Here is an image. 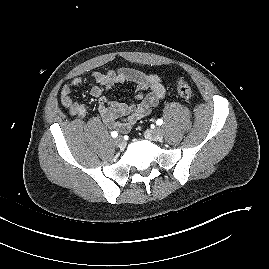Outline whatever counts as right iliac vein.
I'll return each mask as SVG.
<instances>
[{
	"label": "right iliac vein",
	"mask_w": 269,
	"mask_h": 269,
	"mask_svg": "<svg viewBox=\"0 0 269 269\" xmlns=\"http://www.w3.org/2000/svg\"><path fill=\"white\" fill-rule=\"evenodd\" d=\"M114 143L117 147H119L121 149H123L126 145L124 139L120 136L114 139Z\"/></svg>",
	"instance_id": "obj_1"
}]
</instances>
